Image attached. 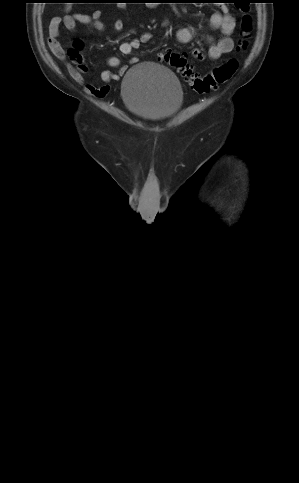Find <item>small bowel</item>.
<instances>
[{
    "mask_svg": "<svg viewBox=\"0 0 299 483\" xmlns=\"http://www.w3.org/2000/svg\"><path fill=\"white\" fill-rule=\"evenodd\" d=\"M103 12L100 10L94 11L91 15L75 13L66 15L64 17H54L49 24V36L48 46L52 53L60 60L66 59V53L59 42L60 28L63 24L68 30H76L79 24L91 26L97 31H103L105 29V23L102 21ZM210 25L214 29H219L221 37L217 42H213L211 38H208V56L212 60H217L225 54H229L233 51L234 41L231 37L235 30V20L232 15L228 13V8L221 4L219 9L212 13L210 17ZM112 29L120 32L123 29V22L116 20L112 23ZM194 37V31L187 27H181L176 31V39L182 43L187 44L192 41ZM153 39L151 32H144L138 38L131 39L129 41L121 42L119 45V51L123 55H130L135 49H138L142 44L148 43ZM195 59L203 60L204 53L198 48H194L191 52ZM139 59L132 57L129 60L131 65L137 64ZM107 64L110 67H119L121 62L118 57H110L107 60ZM128 66H120L118 73H113L109 70H105L100 75V80L103 83H108L112 80H119L125 72ZM75 79L83 82L82 77H76ZM86 91L99 98H103L109 91L108 85L97 87L94 83H86Z\"/></svg>",
    "mask_w": 299,
    "mask_h": 483,
    "instance_id": "small-bowel-1",
    "label": "small bowel"
}]
</instances>
